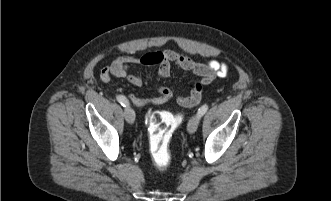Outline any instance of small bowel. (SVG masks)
I'll return each instance as SVG.
<instances>
[{
  "mask_svg": "<svg viewBox=\"0 0 331 201\" xmlns=\"http://www.w3.org/2000/svg\"><path fill=\"white\" fill-rule=\"evenodd\" d=\"M131 65L145 67L156 65L158 66L157 76L162 79L170 76L172 65H175L184 71L199 76L205 84H209L216 76L225 77L228 73V67L225 63L213 60L207 64H203L177 51L167 50L165 52L147 53L142 56H119L102 70L101 78L104 81H108L112 76L126 78L133 86H141L143 79L139 75L130 73ZM158 92L159 96L152 99H143L131 94L130 100L133 104L142 106L145 104H162L171 98V91L167 87H159Z\"/></svg>",
  "mask_w": 331,
  "mask_h": 201,
  "instance_id": "1",
  "label": "small bowel"
}]
</instances>
